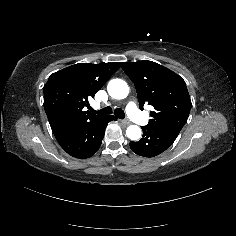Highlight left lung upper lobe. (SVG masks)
Returning <instances> with one entry per match:
<instances>
[{"instance_id": "1", "label": "left lung upper lobe", "mask_w": 236, "mask_h": 236, "mask_svg": "<svg viewBox=\"0 0 236 236\" xmlns=\"http://www.w3.org/2000/svg\"><path fill=\"white\" fill-rule=\"evenodd\" d=\"M121 67L135 85L139 108H154L148 125L180 132L192 106L185 81L152 61L122 62Z\"/></svg>"}]
</instances>
